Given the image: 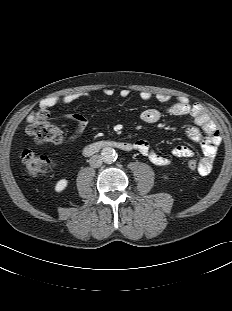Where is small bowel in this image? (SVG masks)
<instances>
[{"instance_id":"obj_1","label":"small bowel","mask_w":232,"mask_h":311,"mask_svg":"<svg viewBox=\"0 0 232 311\" xmlns=\"http://www.w3.org/2000/svg\"><path fill=\"white\" fill-rule=\"evenodd\" d=\"M103 94L107 97L112 96L113 90L105 88ZM119 95L121 98H127L130 95V90L125 88L121 89ZM89 96V93L85 91L49 96L42 101V106L52 107L55 105L70 104L78 99L88 98ZM139 97L143 101H150L155 97L158 101L164 103H168L172 99L168 94L158 93L154 95L147 90L140 91ZM167 113L174 116H190L192 118L193 124L187 127L186 134L192 141L201 146L203 158L199 165V172L201 174L209 173L217 153V147L221 142V133L217 125L210 119L202 106L190 104L184 97L178 98L175 103L171 104L167 108ZM161 116L162 112L160 110L148 108L142 111L140 117L143 122L152 124L157 122ZM62 118L75 123V128L68 137L67 143L76 142L87 127V118L79 113L65 115ZM32 120V116L27 119L29 123H31ZM133 145L134 149L146 156L153 165L166 167L171 164L169 158L153 151L146 140L139 139ZM172 155L177 158H190L195 155V150L187 145H177L172 149Z\"/></svg>"}]
</instances>
